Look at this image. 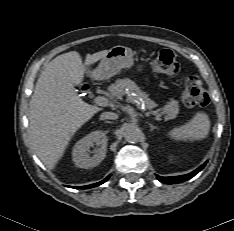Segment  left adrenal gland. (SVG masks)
<instances>
[{
  "label": "left adrenal gland",
  "instance_id": "a2214340",
  "mask_svg": "<svg viewBox=\"0 0 234 231\" xmlns=\"http://www.w3.org/2000/svg\"><path fill=\"white\" fill-rule=\"evenodd\" d=\"M147 124H148L149 127H150V131H153L154 129H157V127L154 126V125H152L151 123H148V122H147Z\"/></svg>",
  "mask_w": 234,
  "mask_h": 231
}]
</instances>
